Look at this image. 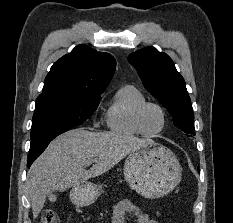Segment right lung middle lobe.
<instances>
[{
	"instance_id": "right-lung-middle-lobe-1",
	"label": "right lung middle lobe",
	"mask_w": 233,
	"mask_h": 223,
	"mask_svg": "<svg viewBox=\"0 0 233 223\" xmlns=\"http://www.w3.org/2000/svg\"><path fill=\"white\" fill-rule=\"evenodd\" d=\"M100 96L49 94L36 99L30 153L41 154L58 135L81 125L99 105Z\"/></svg>"
}]
</instances>
